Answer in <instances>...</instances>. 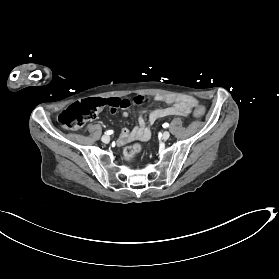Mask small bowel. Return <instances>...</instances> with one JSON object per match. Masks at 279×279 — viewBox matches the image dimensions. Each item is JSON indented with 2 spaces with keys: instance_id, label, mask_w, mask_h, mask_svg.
<instances>
[{
  "instance_id": "obj_1",
  "label": "small bowel",
  "mask_w": 279,
  "mask_h": 279,
  "mask_svg": "<svg viewBox=\"0 0 279 279\" xmlns=\"http://www.w3.org/2000/svg\"><path fill=\"white\" fill-rule=\"evenodd\" d=\"M157 101L168 104V107L158 108L149 113V122L155 123L158 119L168 116H182L186 117L190 113L191 108L196 103L192 97L174 98L172 96L157 95ZM143 111L138 113V126L133 130L124 128L118 138V144L124 145L133 140L148 141L151 138V131L146 127L145 120L143 119ZM123 117H128L127 112H123Z\"/></svg>"
}]
</instances>
